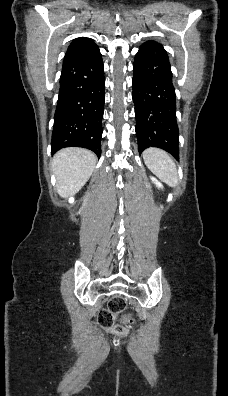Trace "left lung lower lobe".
I'll use <instances>...</instances> for the list:
<instances>
[{
  "label": "left lung lower lobe",
  "mask_w": 228,
  "mask_h": 396,
  "mask_svg": "<svg viewBox=\"0 0 228 396\" xmlns=\"http://www.w3.org/2000/svg\"><path fill=\"white\" fill-rule=\"evenodd\" d=\"M133 72L132 97L139 152L158 147L178 159L176 95L163 46L155 41L144 43L135 56Z\"/></svg>",
  "instance_id": "left-lung-lower-lobe-1"
}]
</instances>
